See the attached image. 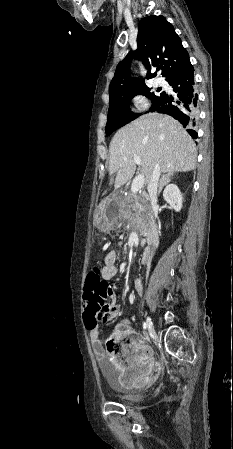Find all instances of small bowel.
<instances>
[{
  "label": "small bowel",
  "mask_w": 233,
  "mask_h": 449,
  "mask_svg": "<svg viewBox=\"0 0 233 449\" xmlns=\"http://www.w3.org/2000/svg\"><path fill=\"white\" fill-rule=\"evenodd\" d=\"M119 258L117 250L109 251L104 258V264L101 267V276L105 281H111L118 273L116 265ZM142 280L147 278L145 273L140 275ZM136 280L134 283V290L137 295L142 294L143 281ZM102 296L107 299L114 297V292L111 287L105 286ZM85 301V298H84ZM105 316L102 317L101 323H107L113 320L119 311L116 304H111L108 301L104 303ZM85 324V323H84ZM89 330V338L92 345L93 352L96 356L101 369L105 373L115 374L120 383L129 388H136L144 385L151 377L152 371L156 365V359L153 349L146 344L143 336L137 333L133 334V344L128 348H123V353L127 364L117 356H111L103 347V344L98 335V328H87Z\"/></svg>",
  "instance_id": "small-bowel-1"
}]
</instances>
